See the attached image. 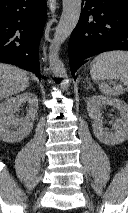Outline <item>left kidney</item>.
<instances>
[{"label": "left kidney", "mask_w": 128, "mask_h": 213, "mask_svg": "<svg viewBox=\"0 0 128 213\" xmlns=\"http://www.w3.org/2000/svg\"><path fill=\"white\" fill-rule=\"evenodd\" d=\"M104 105L117 109L120 118L113 123L114 132L103 127L102 111ZM87 112L93 120L92 128L96 138L106 145H117L128 139V104L120 99L105 96H92L87 100Z\"/></svg>", "instance_id": "obj_1"}]
</instances>
